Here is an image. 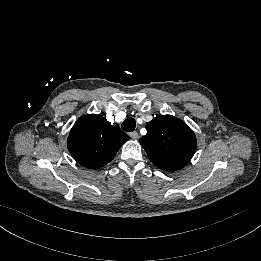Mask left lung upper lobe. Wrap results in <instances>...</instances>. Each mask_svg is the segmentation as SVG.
<instances>
[{
	"label": "left lung upper lobe",
	"mask_w": 261,
	"mask_h": 261,
	"mask_svg": "<svg viewBox=\"0 0 261 261\" xmlns=\"http://www.w3.org/2000/svg\"><path fill=\"white\" fill-rule=\"evenodd\" d=\"M147 134L139 142L149 159L164 171L184 167L196 150V137L179 118L161 115L146 124Z\"/></svg>",
	"instance_id": "obj_1"
}]
</instances>
